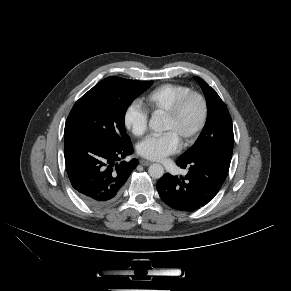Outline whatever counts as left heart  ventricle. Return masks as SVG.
Returning a JSON list of instances; mask_svg holds the SVG:
<instances>
[{"label": "left heart ventricle", "mask_w": 291, "mask_h": 291, "mask_svg": "<svg viewBox=\"0 0 291 291\" xmlns=\"http://www.w3.org/2000/svg\"><path fill=\"white\" fill-rule=\"evenodd\" d=\"M201 114V106L197 99L191 100L176 119L164 118L165 131H173L179 140L185 139L196 127Z\"/></svg>", "instance_id": "left-heart-ventricle-1"}]
</instances>
